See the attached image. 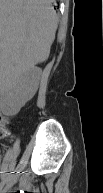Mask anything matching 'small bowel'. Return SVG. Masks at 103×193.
I'll list each match as a JSON object with an SVG mask.
<instances>
[{
	"label": "small bowel",
	"instance_id": "1",
	"mask_svg": "<svg viewBox=\"0 0 103 193\" xmlns=\"http://www.w3.org/2000/svg\"><path fill=\"white\" fill-rule=\"evenodd\" d=\"M7 122H8V121H7V119H6V118H3V119H2V125H6V124H7ZM10 136H11V132H10V131H8V134H7V136H6V137H10ZM2 169H3V171H4V170H6V166H3V168H2ZM6 190H7V185H6V187H5V191H6Z\"/></svg>",
	"mask_w": 103,
	"mask_h": 193
}]
</instances>
